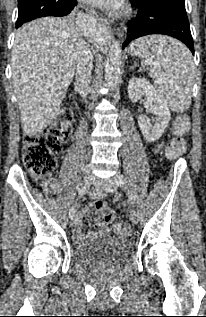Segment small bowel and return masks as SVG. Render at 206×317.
Masks as SVG:
<instances>
[{
	"instance_id": "c3829d8e",
	"label": "small bowel",
	"mask_w": 206,
	"mask_h": 317,
	"mask_svg": "<svg viewBox=\"0 0 206 317\" xmlns=\"http://www.w3.org/2000/svg\"><path fill=\"white\" fill-rule=\"evenodd\" d=\"M163 143H159L156 148H155V152L158 151L161 147H162ZM46 185L50 188V190L52 192H56L57 190V184L56 181L54 179H50L49 181H47ZM91 197L93 199L101 197L103 195V192L100 189H94L91 192ZM82 215L88 216L89 215V210L88 209H84L81 211ZM110 227L108 226H103L100 233H109L110 232ZM97 233L94 232H88L87 234H85L81 228V225L78 223V225L76 226L75 230H74V238L76 240H82L85 237H93L95 236Z\"/></svg>"
}]
</instances>
